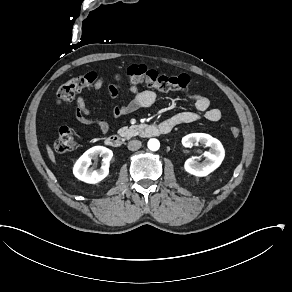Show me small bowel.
<instances>
[{
    "label": "small bowel",
    "mask_w": 292,
    "mask_h": 292,
    "mask_svg": "<svg viewBox=\"0 0 292 292\" xmlns=\"http://www.w3.org/2000/svg\"><path fill=\"white\" fill-rule=\"evenodd\" d=\"M105 83V78L100 77L93 85L95 92H99ZM109 97L115 99L118 91L114 87L108 90ZM130 99L124 104H115L112 108L115 116H125L134 113L140 109L151 107L157 101V94L151 90H139L135 85L129 89ZM188 98L193 102L196 111H183L175 113L166 118L162 123L171 124L172 128L198 121L203 117L210 122H218L222 118V111L219 108L211 107L210 100L200 94H189ZM75 117L78 122L86 125H95L102 134L109 132V123L107 119L97 113L92 112L83 96L79 95L75 100Z\"/></svg>",
    "instance_id": "small-bowel-1"
}]
</instances>
